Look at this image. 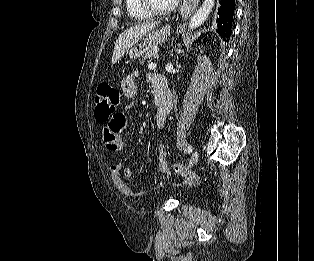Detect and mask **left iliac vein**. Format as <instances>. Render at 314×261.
Wrapping results in <instances>:
<instances>
[{
    "mask_svg": "<svg viewBox=\"0 0 314 261\" xmlns=\"http://www.w3.org/2000/svg\"><path fill=\"white\" fill-rule=\"evenodd\" d=\"M198 158H199L198 151H194L190 157L188 168H191L197 162Z\"/></svg>",
    "mask_w": 314,
    "mask_h": 261,
    "instance_id": "1",
    "label": "left iliac vein"
}]
</instances>
